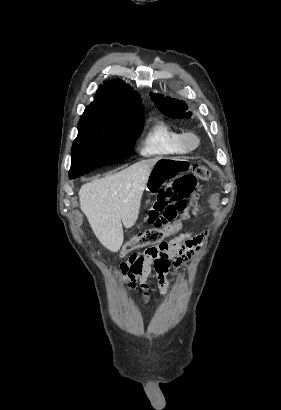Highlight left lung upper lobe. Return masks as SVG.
<instances>
[{
    "label": "left lung upper lobe",
    "instance_id": "obj_1",
    "mask_svg": "<svg viewBox=\"0 0 281 410\" xmlns=\"http://www.w3.org/2000/svg\"><path fill=\"white\" fill-rule=\"evenodd\" d=\"M150 98L155 106L165 115L172 118H190L191 112H186L188 107L183 101L173 98L164 97L158 94L150 93Z\"/></svg>",
    "mask_w": 281,
    "mask_h": 410
}]
</instances>
